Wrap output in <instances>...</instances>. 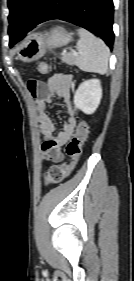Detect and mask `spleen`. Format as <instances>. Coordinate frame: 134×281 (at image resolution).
Instances as JSON below:
<instances>
[{
	"mask_svg": "<svg viewBox=\"0 0 134 281\" xmlns=\"http://www.w3.org/2000/svg\"><path fill=\"white\" fill-rule=\"evenodd\" d=\"M78 33L80 39L77 42V66L85 72L105 74L108 70L109 48L86 29H78Z\"/></svg>",
	"mask_w": 134,
	"mask_h": 281,
	"instance_id": "1",
	"label": "spleen"
}]
</instances>
